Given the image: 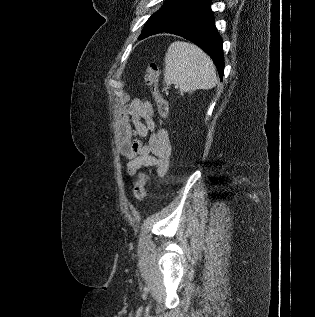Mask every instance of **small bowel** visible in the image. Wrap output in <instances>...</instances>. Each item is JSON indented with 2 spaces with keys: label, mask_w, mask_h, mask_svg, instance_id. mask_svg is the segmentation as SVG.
I'll return each mask as SVG.
<instances>
[{
  "label": "small bowel",
  "mask_w": 315,
  "mask_h": 317,
  "mask_svg": "<svg viewBox=\"0 0 315 317\" xmlns=\"http://www.w3.org/2000/svg\"><path fill=\"white\" fill-rule=\"evenodd\" d=\"M115 146L128 159L127 170L135 174L142 167L163 177L169 168L171 144L165 129L157 128L152 106L136 100L121 109L115 121Z\"/></svg>",
  "instance_id": "c3829d8e"
}]
</instances>
